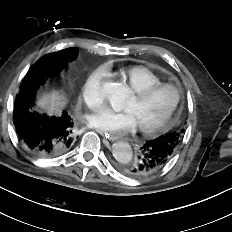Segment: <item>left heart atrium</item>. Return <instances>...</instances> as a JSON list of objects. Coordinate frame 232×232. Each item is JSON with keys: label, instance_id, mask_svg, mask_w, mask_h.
I'll return each instance as SVG.
<instances>
[{"label": "left heart atrium", "instance_id": "39dd6f15", "mask_svg": "<svg viewBox=\"0 0 232 232\" xmlns=\"http://www.w3.org/2000/svg\"><path fill=\"white\" fill-rule=\"evenodd\" d=\"M86 121L93 128L118 136L133 131L137 127L133 114L128 110L114 111L102 108L88 115Z\"/></svg>", "mask_w": 232, "mask_h": 232}]
</instances>
